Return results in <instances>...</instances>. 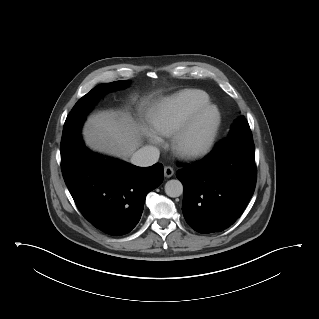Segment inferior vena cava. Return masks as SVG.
<instances>
[{"mask_svg":"<svg viewBox=\"0 0 319 319\" xmlns=\"http://www.w3.org/2000/svg\"><path fill=\"white\" fill-rule=\"evenodd\" d=\"M160 151L154 146H144L131 157V163L136 166L147 167L155 164L159 159Z\"/></svg>","mask_w":319,"mask_h":319,"instance_id":"1","label":"inferior vena cava"}]
</instances>
